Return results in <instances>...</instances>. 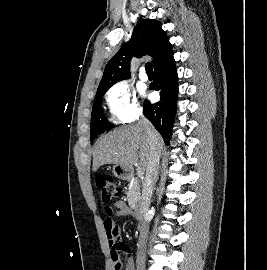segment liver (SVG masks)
I'll return each instance as SVG.
<instances>
[{"instance_id": "obj_1", "label": "liver", "mask_w": 267, "mask_h": 270, "mask_svg": "<svg viewBox=\"0 0 267 270\" xmlns=\"http://www.w3.org/2000/svg\"><path fill=\"white\" fill-rule=\"evenodd\" d=\"M160 150L163 148V139L155 131ZM150 158L148 134L139 125H127L116 128L102 136L94 149L93 171L105 164H118L128 169L138 162L145 170Z\"/></svg>"}]
</instances>
